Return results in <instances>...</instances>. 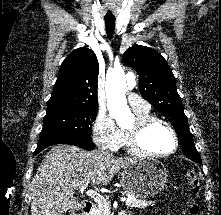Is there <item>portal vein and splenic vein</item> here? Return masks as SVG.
<instances>
[{"label":"portal vein and splenic vein","instance_id":"obj_1","mask_svg":"<svg viewBox=\"0 0 221 215\" xmlns=\"http://www.w3.org/2000/svg\"><path fill=\"white\" fill-rule=\"evenodd\" d=\"M86 188H87V186H82V187H81V191H82V192L85 191L88 196H90V197H92L93 199H95L96 201H98V203H99L101 200L105 201L104 197L101 196L98 192H96V191H94V190H86ZM120 200H121L122 202H125V201H129L130 198L121 197Z\"/></svg>","mask_w":221,"mask_h":215}]
</instances>
